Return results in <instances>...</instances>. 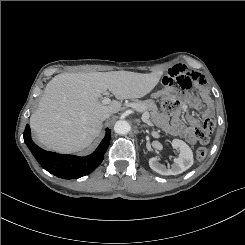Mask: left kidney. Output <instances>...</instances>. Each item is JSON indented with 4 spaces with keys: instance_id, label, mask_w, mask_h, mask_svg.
Wrapping results in <instances>:
<instances>
[{
    "instance_id": "left-kidney-1",
    "label": "left kidney",
    "mask_w": 245,
    "mask_h": 245,
    "mask_svg": "<svg viewBox=\"0 0 245 245\" xmlns=\"http://www.w3.org/2000/svg\"><path fill=\"white\" fill-rule=\"evenodd\" d=\"M172 147L180 150L178 158L173 160V164L170 166H165L159 162V159L153 157L149 159L150 168L161 175H178L189 169L194 162L193 152L191 148L180 139H173Z\"/></svg>"
}]
</instances>
